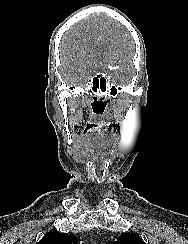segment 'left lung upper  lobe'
Returning a JSON list of instances; mask_svg holds the SVG:
<instances>
[{
  "instance_id": "obj_1",
  "label": "left lung upper lobe",
  "mask_w": 188,
  "mask_h": 244,
  "mask_svg": "<svg viewBox=\"0 0 188 244\" xmlns=\"http://www.w3.org/2000/svg\"><path fill=\"white\" fill-rule=\"evenodd\" d=\"M112 244H145V242L135 234H122L118 240Z\"/></svg>"
}]
</instances>
